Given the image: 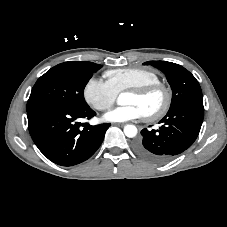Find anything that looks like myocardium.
I'll return each mask as SVG.
<instances>
[{"instance_id": "obj_1", "label": "myocardium", "mask_w": 227, "mask_h": 227, "mask_svg": "<svg viewBox=\"0 0 227 227\" xmlns=\"http://www.w3.org/2000/svg\"><path fill=\"white\" fill-rule=\"evenodd\" d=\"M154 92L162 93L163 102L158 110H156L153 113L146 114L143 116L147 121L159 120L168 112V110L170 109L171 103H172L171 89L167 85H165L161 82H157V83H152V84H148V85L141 86V87L130 88L127 90V93H131L138 97H145Z\"/></svg>"}]
</instances>
